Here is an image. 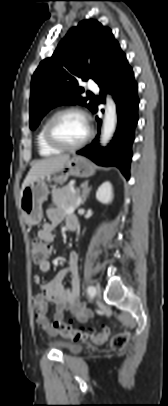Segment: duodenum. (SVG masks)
Instances as JSON below:
<instances>
[{
    "label": "duodenum",
    "instance_id": "duodenum-1",
    "mask_svg": "<svg viewBox=\"0 0 168 406\" xmlns=\"http://www.w3.org/2000/svg\"><path fill=\"white\" fill-rule=\"evenodd\" d=\"M68 228H69L71 231L75 232V231L77 230V228H78V222H77V221H71V222H69Z\"/></svg>",
    "mask_w": 168,
    "mask_h": 406
}]
</instances>
